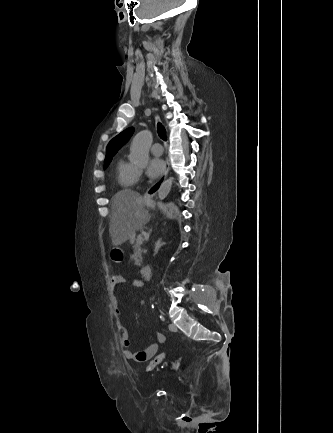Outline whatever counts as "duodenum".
<instances>
[{
    "label": "duodenum",
    "instance_id": "1",
    "mask_svg": "<svg viewBox=\"0 0 333 433\" xmlns=\"http://www.w3.org/2000/svg\"><path fill=\"white\" fill-rule=\"evenodd\" d=\"M131 242H136V237H131ZM142 279L148 281L152 277V269L150 266L145 265L140 270Z\"/></svg>",
    "mask_w": 333,
    "mask_h": 433
}]
</instances>
